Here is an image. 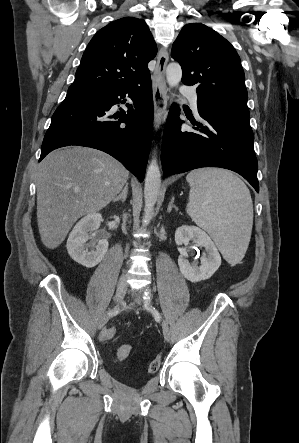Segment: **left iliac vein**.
<instances>
[{
	"label": "left iliac vein",
	"mask_w": 299,
	"mask_h": 443,
	"mask_svg": "<svg viewBox=\"0 0 299 443\" xmlns=\"http://www.w3.org/2000/svg\"><path fill=\"white\" fill-rule=\"evenodd\" d=\"M146 292H149V294L151 296V293H150L149 289H146ZM130 293L132 295L136 294L134 291H130ZM144 307L147 310H150V311H157V309L151 304V302L149 300H145L144 301ZM162 329H163V335H164L165 340L169 341L170 336H171V332H170V328H169V326H168V324H167L165 319L162 320Z\"/></svg>",
	"instance_id": "left-iliac-vein-1"
}]
</instances>
